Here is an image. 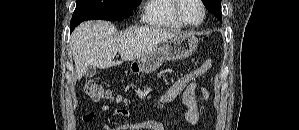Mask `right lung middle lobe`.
Listing matches in <instances>:
<instances>
[{
  "label": "right lung middle lobe",
  "mask_w": 299,
  "mask_h": 130,
  "mask_svg": "<svg viewBox=\"0 0 299 130\" xmlns=\"http://www.w3.org/2000/svg\"><path fill=\"white\" fill-rule=\"evenodd\" d=\"M142 0H77L72 19L120 20L132 15Z\"/></svg>",
  "instance_id": "right-lung-middle-lobe-1"
}]
</instances>
